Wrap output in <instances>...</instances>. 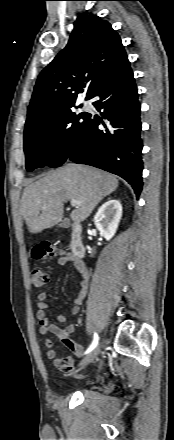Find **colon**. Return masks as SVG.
I'll list each match as a JSON object with an SVG mask.
<instances>
[{"label": "colon", "mask_w": 174, "mask_h": 440, "mask_svg": "<svg viewBox=\"0 0 174 440\" xmlns=\"http://www.w3.org/2000/svg\"><path fill=\"white\" fill-rule=\"evenodd\" d=\"M63 250L59 249L52 243H41L32 250V256L35 259H47L57 254H61ZM48 281V275L41 269H33L31 271V283L34 287H42Z\"/></svg>", "instance_id": "obj_1"}]
</instances>
